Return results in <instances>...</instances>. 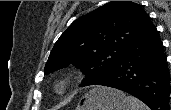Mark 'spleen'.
<instances>
[{"instance_id":"spleen-1","label":"spleen","mask_w":171,"mask_h":110,"mask_svg":"<svg viewBox=\"0 0 171 110\" xmlns=\"http://www.w3.org/2000/svg\"><path fill=\"white\" fill-rule=\"evenodd\" d=\"M127 103L129 105V110H149L143 102L133 96L127 97Z\"/></svg>"}]
</instances>
